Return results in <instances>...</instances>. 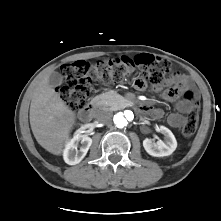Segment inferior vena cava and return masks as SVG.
Masks as SVG:
<instances>
[{
    "label": "inferior vena cava",
    "instance_id": "1",
    "mask_svg": "<svg viewBox=\"0 0 221 221\" xmlns=\"http://www.w3.org/2000/svg\"><path fill=\"white\" fill-rule=\"evenodd\" d=\"M112 118V113L108 110H101L97 113L96 119L101 123H108Z\"/></svg>",
    "mask_w": 221,
    "mask_h": 221
}]
</instances>
